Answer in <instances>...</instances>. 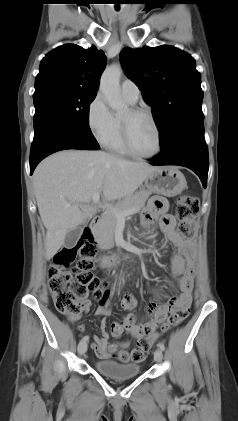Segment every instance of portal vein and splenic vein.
<instances>
[{
    "mask_svg": "<svg viewBox=\"0 0 238 421\" xmlns=\"http://www.w3.org/2000/svg\"><path fill=\"white\" fill-rule=\"evenodd\" d=\"M92 200L94 203H98L100 200V192H95L92 196ZM71 204H66V207H70ZM105 207L107 208V210L113 212L115 214V216L117 217L118 220H122L124 219L126 216L131 215L136 213L137 211L135 209H127L124 211H118L115 207L111 206V205H105Z\"/></svg>",
    "mask_w": 238,
    "mask_h": 421,
    "instance_id": "obj_1",
    "label": "portal vein and splenic vein"
}]
</instances>
